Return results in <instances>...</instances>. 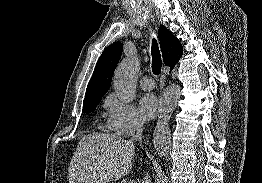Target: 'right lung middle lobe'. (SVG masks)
<instances>
[{
  "label": "right lung middle lobe",
  "mask_w": 262,
  "mask_h": 183,
  "mask_svg": "<svg viewBox=\"0 0 262 183\" xmlns=\"http://www.w3.org/2000/svg\"><path fill=\"white\" fill-rule=\"evenodd\" d=\"M100 101H101V98L95 99V100L83 101V112L90 113L94 111L97 104H99Z\"/></svg>",
  "instance_id": "dd1d6c3e"
}]
</instances>
